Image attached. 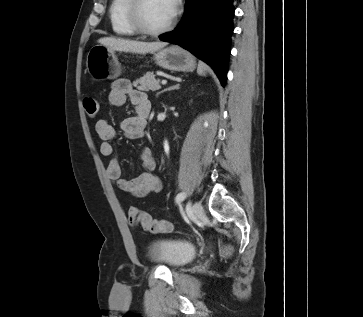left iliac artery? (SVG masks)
Listing matches in <instances>:
<instances>
[{"label":"left iliac artery","mask_w":363,"mask_h":317,"mask_svg":"<svg viewBox=\"0 0 363 317\" xmlns=\"http://www.w3.org/2000/svg\"><path fill=\"white\" fill-rule=\"evenodd\" d=\"M186 198V194L184 192L179 193L176 198L175 201L176 203H180L182 202L184 199Z\"/></svg>","instance_id":"left-iliac-artery-1"}]
</instances>
